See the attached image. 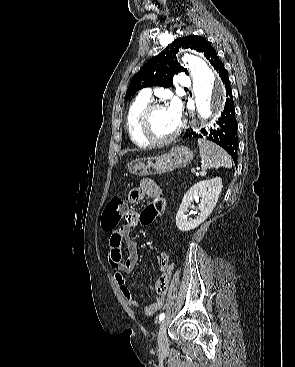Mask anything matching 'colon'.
Masks as SVG:
<instances>
[{"instance_id": "colon-1", "label": "colon", "mask_w": 295, "mask_h": 367, "mask_svg": "<svg viewBox=\"0 0 295 367\" xmlns=\"http://www.w3.org/2000/svg\"><path fill=\"white\" fill-rule=\"evenodd\" d=\"M151 199L152 202L148 203L146 210L141 215L143 224H149L155 221L158 212H165L167 210L165 205L169 199L168 196L154 195ZM126 213L127 206L124 200L120 197H113L106 205L102 214L103 229L106 231L114 230Z\"/></svg>"}]
</instances>
